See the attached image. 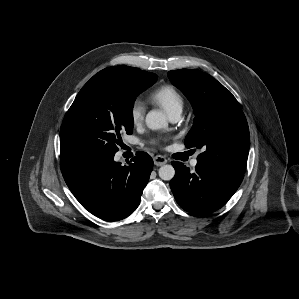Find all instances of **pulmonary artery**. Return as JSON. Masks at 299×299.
Masks as SVG:
<instances>
[{
	"label": "pulmonary artery",
	"mask_w": 299,
	"mask_h": 299,
	"mask_svg": "<svg viewBox=\"0 0 299 299\" xmlns=\"http://www.w3.org/2000/svg\"><path fill=\"white\" fill-rule=\"evenodd\" d=\"M180 114H181V111L172 113L171 115H169L170 120L173 122L177 121L180 118ZM190 164L192 167H195L197 165V159H193Z\"/></svg>",
	"instance_id": "e3ab8cb5"
}]
</instances>
